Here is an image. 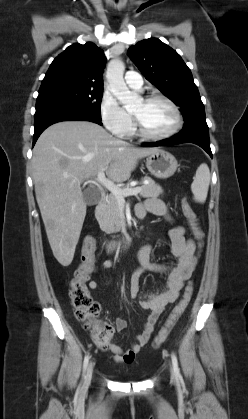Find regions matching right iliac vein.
I'll list each match as a JSON object with an SVG mask.
<instances>
[{
	"instance_id": "63e3f726",
	"label": "right iliac vein",
	"mask_w": 248,
	"mask_h": 419,
	"mask_svg": "<svg viewBox=\"0 0 248 419\" xmlns=\"http://www.w3.org/2000/svg\"><path fill=\"white\" fill-rule=\"evenodd\" d=\"M93 369H94V364L92 362L89 363L88 368H87V373H86V378L84 381V384L82 386V391H85L92 379V375H93Z\"/></svg>"
}]
</instances>
